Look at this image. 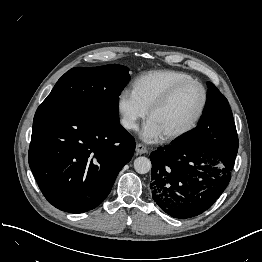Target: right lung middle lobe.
Here are the masks:
<instances>
[{
    "mask_svg": "<svg viewBox=\"0 0 262 262\" xmlns=\"http://www.w3.org/2000/svg\"><path fill=\"white\" fill-rule=\"evenodd\" d=\"M128 70L117 64L72 68L58 80L42 104L75 107L104 121L117 122L119 95L130 79Z\"/></svg>",
    "mask_w": 262,
    "mask_h": 262,
    "instance_id": "1",
    "label": "right lung middle lobe"
}]
</instances>
